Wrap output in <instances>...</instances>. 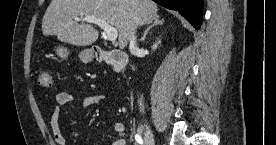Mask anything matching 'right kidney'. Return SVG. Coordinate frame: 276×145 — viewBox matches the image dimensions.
<instances>
[{
	"mask_svg": "<svg viewBox=\"0 0 276 145\" xmlns=\"http://www.w3.org/2000/svg\"><path fill=\"white\" fill-rule=\"evenodd\" d=\"M160 43V41H158L157 43H155L153 46H152V49L155 50L158 46V44Z\"/></svg>",
	"mask_w": 276,
	"mask_h": 145,
	"instance_id": "obj_1",
	"label": "right kidney"
}]
</instances>
